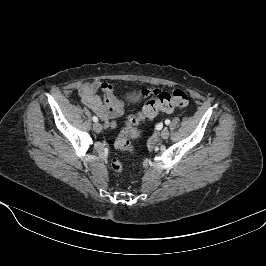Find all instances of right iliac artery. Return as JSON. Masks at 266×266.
I'll use <instances>...</instances> for the list:
<instances>
[{
	"label": "right iliac artery",
	"instance_id": "obj_1",
	"mask_svg": "<svg viewBox=\"0 0 266 266\" xmlns=\"http://www.w3.org/2000/svg\"><path fill=\"white\" fill-rule=\"evenodd\" d=\"M92 119H93L94 122H97L98 121V118L96 116H93Z\"/></svg>",
	"mask_w": 266,
	"mask_h": 266
}]
</instances>
